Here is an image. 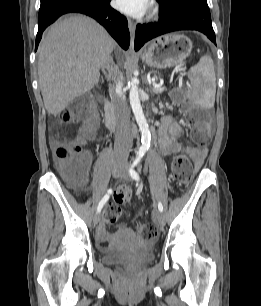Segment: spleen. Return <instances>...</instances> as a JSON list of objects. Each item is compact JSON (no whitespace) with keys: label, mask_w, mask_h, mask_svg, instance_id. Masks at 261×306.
Here are the masks:
<instances>
[{"label":"spleen","mask_w":261,"mask_h":306,"mask_svg":"<svg viewBox=\"0 0 261 306\" xmlns=\"http://www.w3.org/2000/svg\"><path fill=\"white\" fill-rule=\"evenodd\" d=\"M191 81L189 98L204 109L213 107L216 94L214 63L210 56H203L188 72Z\"/></svg>","instance_id":"obj_1"}]
</instances>
